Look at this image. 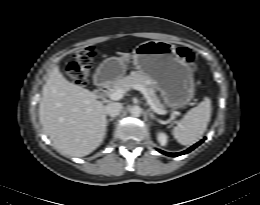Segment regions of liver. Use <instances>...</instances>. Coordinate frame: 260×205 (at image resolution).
Returning <instances> with one entry per match:
<instances>
[{"instance_id": "liver-1", "label": "liver", "mask_w": 260, "mask_h": 205, "mask_svg": "<svg viewBox=\"0 0 260 205\" xmlns=\"http://www.w3.org/2000/svg\"><path fill=\"white\" fill-rule=\"evenodd\" d=\"M39 119L56 149L70 156L90 154L106 134V106L93 92L67 81L58 67L42 88Z\"/></svg>"}]
</instances>
